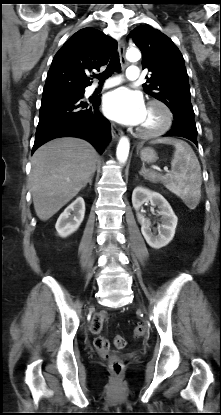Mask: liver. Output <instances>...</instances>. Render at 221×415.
Returning <instances> with one entry per match:
<instances>
[{
    "label": "liver",
    "mask_w": 221,
    "mask_h": 415,
    "mask_svg": "<svg viewBox=\"0 0 221 415\" xmlns=\"http://www.w3.org/2000/svg\"><path fill=\"white\" fill-rule=\"evenodd\" d=\"M98 153L82 139L63 137L42 145L31 164V193L40 220L56 214L86 186L96 170Z\"/></svg>",
    "instance_id": "liver-1"
}]
</instances>
